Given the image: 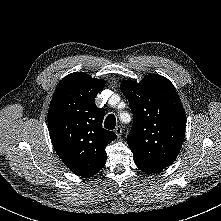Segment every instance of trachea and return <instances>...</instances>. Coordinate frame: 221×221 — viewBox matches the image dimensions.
Masks as SVG:
<instances>
[{"instance_id": "trachea-1", "label": "trachea", "mask_w": 221, "mask_h": 221, "mask_svg": "<svg viewBox=\"0 0 221 221\" xmlns=\"http://www.w3.org/2000/svg\"><path fill=\"white\" fill-rule=\"evenodd\" d=\"M116 126V118L113 114H109L104 122V127L108 130H113Z\"/></svg>"}]
</instances>
